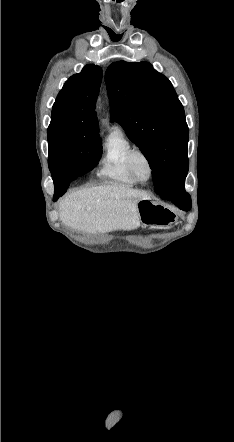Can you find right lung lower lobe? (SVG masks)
I'll list each match as a JSON object with an SVG mask.
<instances>
[{"label": "right lung lower lobe", "mask_w": 234, "mask_h": 442, "mask_svg": "<svg viewBox=\"0 0 234 442\" xmlns=\"http://www.w3.org/2000/svg\"><path fill=\"white\" fill-rule=\"evenodd\" d=\"M71 171L72 168L70 166H64L51 172L55 186L54 201L66 192L70 182L73 180Z\"/></svg>", "instance_id": "obj_1"}]
</instances>
